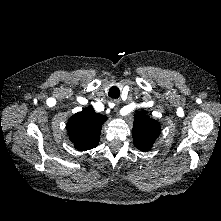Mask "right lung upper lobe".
I'll use <instances>...</instances> for the list:
<instances>
[{
  "label": "right lung upper lobe",
  "instance_id": "right-lung-upper-lobe-1",
  "mask_svg": "<svg viewBox=\"0 0 221 221\" xmlns=\"http://www.w3.org/2000/svg\"><path fill=\"white\" fill-rule=\"evenodd\" d=\"M107 117L95 113L92 107H87L69 118L68 135L75 148L86 151L98 146L101 126Z\"/></svg>",
  "mask_w": 221,
  "mask_h": 221
}]
</instances>
